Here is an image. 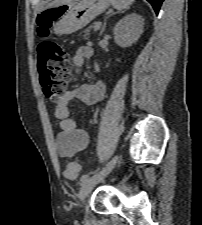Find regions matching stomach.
Here are the masks:
<instances>
[{
  "label": "stomach",
  "instance_id": "stomach-1",
  "mask_svg": "<svg viewBox=\"0 0 202 225\" xmlns=\"http://www.w3.org/2000/svg\"><path fill=\"white\" fill-rule=\"evenodd\" d=\"M111 0H82L77 4H64L48 8L57 9L54 13L59 14L58 21L53 24V31L57 35L72 34L87 24L96 16L103 13Z\"/></svg>",
  "mask_w": 202,
  "mask_h": 225
}]
</instances>
